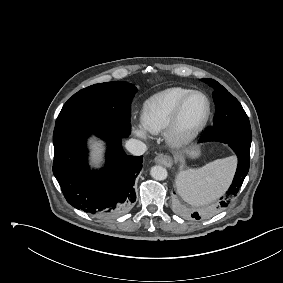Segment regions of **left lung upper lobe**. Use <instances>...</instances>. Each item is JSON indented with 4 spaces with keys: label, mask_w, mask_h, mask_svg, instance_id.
Here are the masks:
<instances>
[{
    "label": "left lung upper lobe",
    "mask_w": 283,
    "mask_h": 283,
    "mask_svg": "<svg viewBox=\"0 0 283 283\" xmlns=\"http://www.w3.org/2000/svg\"><path fill=\"white\" fill-rule=\"evenodd\" d=\"M214 88L216 108L214 125L205 133L207 139L224 143L251 145L252 133L248 116L239 101L221 84L213 79H204Z\"/></svg>",
    "instance_id": "obj_1"
}]
</instances>
